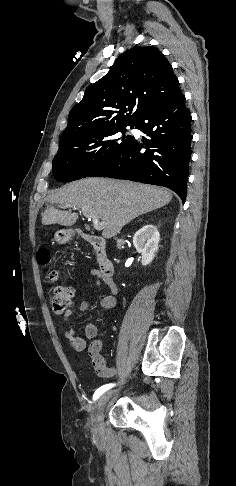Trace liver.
Segmentation results:
<instances>
[{
	"label": "liver",
	"mask_w": 236,
	"mask_h": 486,
	"mask_svg": "<svg viewBox=\"0 0 236 486\" xmlns=\"http://www.w3.org/2000/svg\"><path fill=\"white\" fill-rule=\"evenodd\" d=\"M172 194L160 187L108 178H85L49 194L42 224L72 226L78 214L61 211L53 205L69 209H94L105 222L102 236L110 239L136 217L163 207Z\"/></svg>",
	"instance_id": "6515ba94"
}]
</instances>
